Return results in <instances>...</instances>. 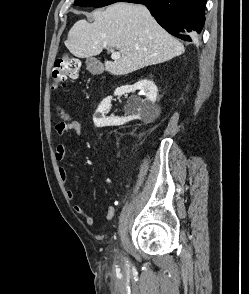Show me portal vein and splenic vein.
I'll use <instances>...</instances> for the list:
<instances>
[{
	"mask_svg": "<svg viewBox=\"0 0 249 294\" xmlns=\"http://www.w3.org/2000/svg\"><path fill=\"white\" fill-rule=\"evenodd\" d=\"M112 54H111V58L114 60H117L120 58V52H116L114 50H111Z\"/></svg>",
	"mask_w": 249,
	"mask_h": 294,
	"instance_id": "portal-vein-and-splenic-vein-1",
	"label": "portal vein and splenic vein"
}]
</instances>
